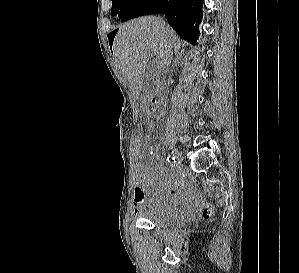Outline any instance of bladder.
I'll list each match as a JSON object with an SVG mask.
<instances>
[{
  "instance_id": "31cf9c89",
  "label": "bladder",
  "mask_w": 299,
  "mask_h": 273,
  "mask_svg": "<svg viewBox=\"0 0 299 273\" xmlns=\"http://www.w3.org/2000/svg\"><path fill=\"white\" fill-rule=\"evenodd\" d=\"M139 217L153 224L156 227L167 229L181 221V217L176 214H159L152 211H142Z\"/></svg>"
}]
</instances>
